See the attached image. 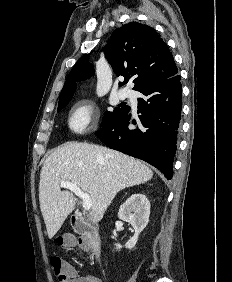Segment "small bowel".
<instances>
[{
  "label": "small bowel",
  "mask_w": 232,
  "mask_h": 282,
  "mask_svg": "<svg viewBox=\"0 0 232 282\" xmlns=\"http://www.w3.org/2000/svg\"><path fill=\"white\" fill-rule=\"evenodd\" d=\"M71 282H101V280L93 274H80L73 268Z\"/></svg>",
  "instance_id": "obj_1"
}]
</instances>
